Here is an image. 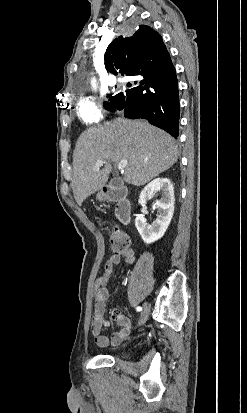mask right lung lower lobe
<instances>
[{
    "instance_id": "right-lung-lower-lobe-1",
    "label": "right lung lower lobe",
    "mask_w": 247,
    "mask_h": 413,
    "mask_svg": "<svg viewBox=\"0 0 247 413\" xmlns=\"http://www.w3.org/2000/svg\"><path fill=\"white\" fill-rule=\"evenodd\" d=\"M137 87L116 94L107 109L121 110L126 118L147 119L177 139L179 134L178 82L172 61L135 76Z\"/></svg>"
}]
</instances>
